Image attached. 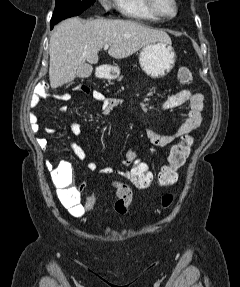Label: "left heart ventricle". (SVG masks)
Masks as SVG:
<instances>
[{"label":"left heart ventricle","mask_w":240,"mask_h":287,"mask_svg":"<svg viewBox=\"0 0 240 287\" xmlns=\"http://www.w3.org/2000/svg\"><path fill=\"white\" fill-rule=\"evenodd\" d=\"M159 9L165 14H172L174 12V5L172 0H157Z\"/></svg>","instance_id":"1"}]
</instances>
